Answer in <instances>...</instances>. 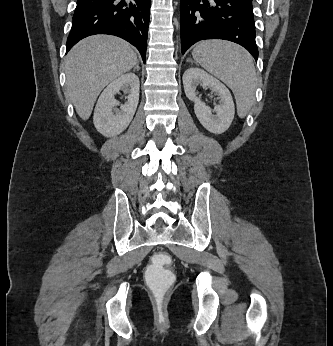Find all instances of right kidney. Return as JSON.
Listing matches in <instances>:
<instances>
[{"mask_svg": "<svg viewBox=\"0 0 333 346\" xmlns=\"http://www.w3.org/2000/svg\"><path fill=\"white\" fill-rule=\"evenodd\" d=\"M140 82L134 73H126L112 81L100 95L93 122L98 132L111 137L123 132L133 119L139 101ZM120 90L128 93L127 102L120 105L114 96ZM120 105V110L116 106Z\"/></svg>", "mask_w": 333, "mask_h": 346, "instance_id": "right-kidney-1", "label": "right kidney"}]
</instances>
